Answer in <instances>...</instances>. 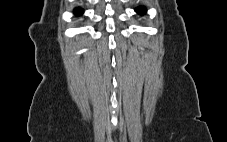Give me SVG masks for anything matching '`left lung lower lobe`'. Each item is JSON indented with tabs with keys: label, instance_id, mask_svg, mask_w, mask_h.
I'll return each mask as SVG.
<instances>
[{
	"label": "left lung lower lobe",
	"instance_id": "obj_1",
	"mask_svg": "<svg viewBox=\"0 0 227 142\" xmlns=\"http://www.w3.org/2000/svg\"><path fill=\"white\" fill-rule=\"evenodd\" d=\"M135 11L139 14H144L146 12V8L145 7H138L135 9Z\"/></svg>",
	"mask_w": 227,
	"mask_h": 142
}]
</instances>
